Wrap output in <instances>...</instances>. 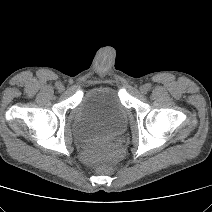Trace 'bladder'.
Wrapping results in <instances>:
<instances>
[{
    "instance_id": "1",
    "label": "bladder",
    "mask_w": 212,
    "mask_h": 212,
    "mask_svg": "<svg viewBox=\"0 0 212 212\" xmlns=\"http://www.w3.org/2000/svg\"><path fill=\"white\" fill-rule=\"evenodd\" d=\"M128 112L116 90L99 87L87 91L76 107L75 138L90 143L105 136L121 134L127 126Z\"/></svg>"
}]
</instances>
